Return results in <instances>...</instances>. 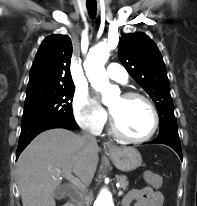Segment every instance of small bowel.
I'll return each instance as SVG.
<instances>
[{
  "label": "small bowel",
  "mask_w": 197,
  "mask_h": 206,
  "mask_svg": "<svg viewBox=\"0 0 197 206\" xmlns=\"http://www.w3.org/2000/svg\"><path fill=\"white\" fill-rule=\"evenodd\" d=\"M163 206L162 194L151 188L134 189L129 191L123 199V206Z\"/></svg>",
  "instance_id": "obj_1"
}]
</instances>
